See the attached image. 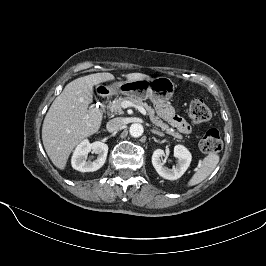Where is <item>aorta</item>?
Segmentation results:
<instances>
[{
    "mask_svg": "<svg viewBox=\"0 0 266 266\" xmlns=\"http://www.w3.org/2000/svg\"><path fill=\"white\" fill-rule=\"evenodd\" d=\"M130 135L134 138L142 136L144 132V128L141 124L139 123H134L130 126L129 128Z\"/></svg>",
    "mask_w": 266,
    "mask_h": 266,
    "instance_id": "aorta-1",
    "label": "aorta"
}]
</instances>
